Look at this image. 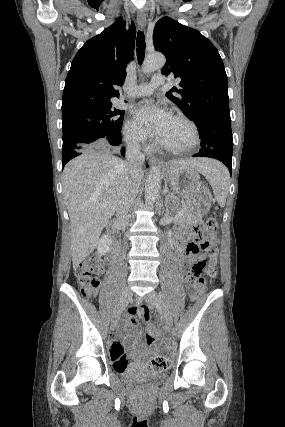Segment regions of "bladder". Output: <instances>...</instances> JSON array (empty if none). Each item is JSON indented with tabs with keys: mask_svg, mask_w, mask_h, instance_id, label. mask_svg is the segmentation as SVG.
<instances>
[{
	"mask_svg": "<svg viewBox=\"0 0 285 427\" xmlns=\"http://www.w3.org/2000/svg\"><path fill=\"white\" fill-rule=\"evenodd\" d=\"M115 374L132 385H140L146 382H162L167 377V372L163 370L151 371L136 363L129 364L122 370L116 371Z\"/></svg>",
	"mask_w": 285,
	"mask_h": 427,
	"instance_id": "bladder-1",
	"label": "bladder"
}]
</instances>
